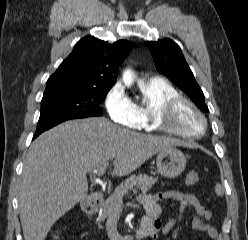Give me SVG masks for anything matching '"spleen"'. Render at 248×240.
<instances>
[{
	"instance_id": "spleen-1",
	"label": "spleen",
	"mask_w": 248,
	"mask_h": 240,
	"mask_svg": "<svg viewBox=\"0 0 248 240\" xmlns=\"http://www.w3.org/2000/svg\"><path fill=\"white\" fill-rule=\"evenodd\" d=\"M215 191L218 195H222L223 194V191H222V188L219 184L216 185L215 187Z\"/></svg>"
}]
</instances>
